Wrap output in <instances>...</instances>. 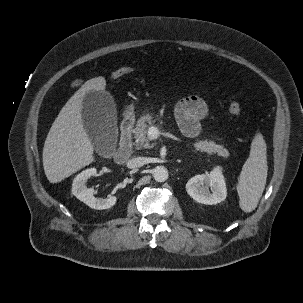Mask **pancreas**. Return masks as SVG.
<instances>
[{
    "label": "pancreas",
    "instance_id": "pancreas-1",
    "mask_svg": "<svg viewBox=\"0 0 303 303\" xmlns=\"http://www.w3.org/2000/svg\"><path fill=\"white\" fill-rule=\"evenodd\" d=\"M155 120L151 115H143L138 119L136 128L134 129L135 147L136 149L151 148L149 138L147 136L149 126L155 124ZM195 150L206 152L208 154L217 153L219 156L227 157L229 152L222 145H217L211 140H198L194 143Z\"/></svg>",
    "mask_w": 303,
    "mask_h": 303
}]
</instances>
